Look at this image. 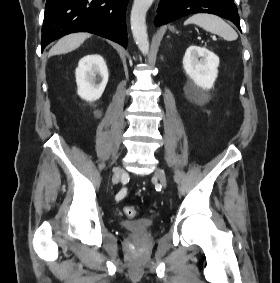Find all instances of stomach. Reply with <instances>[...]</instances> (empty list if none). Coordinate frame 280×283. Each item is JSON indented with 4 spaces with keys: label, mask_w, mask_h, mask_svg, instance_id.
<instances>
[{
    "label": "stomach",
    "mask_w": 280,
    "mask_h": 283,
    "mask_svg": "<svg viewBox=\"0 0 280 283\" xmlns=\"http://www.w3.org/2000/svg\"><path fill=\"white\" fill-rule=\"evenodd\" d=\"M170 29H171L172 31H174V27H171Z\"/></svg>",
    "instance_id": "obj_1"
}]
</instances>
